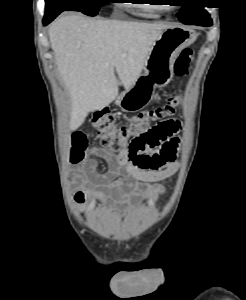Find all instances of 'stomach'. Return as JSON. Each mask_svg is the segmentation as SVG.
Instances as JSON below:
<instances>
[{
  "label": "stomach",
  "mask_w": 246,
  "mask_h": 300,
  "mask_svg": "<svg viewBox=\"0 0 246 300\" xmlns=\"http://www.w3.org/2000/svg\"><path fill=\"white\" fill-rule=\"evenodd\" d=\"M196 38L197 34L191 29H166L150 49L144 74L140 75L129 89L118 95L115 103L124 111L143 109L153 98L155 88L169 83L175 59Z\"/></svg>",
  "instance_id": "1"
}]
</instances>
